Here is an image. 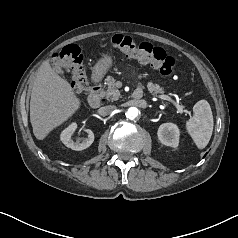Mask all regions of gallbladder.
<instances>
[{
  "instance_id": "bac80fb5",
  "label": "gallbladder",
  "mask_w": 238,
  "mask_h": 238,
  "mask_svg": "<svg viewBox=\"0 0 238 238\" xmlns=\"http://www.w3.org/2000/svg\"><path fill=\"white\" fill-rule=\"evenodd\" d=\"M54 69H55V71H56L57 73H60V74L63 73V71H62V69H61L60 67L55 66Z\"/></svg>"
}]
</instances>
